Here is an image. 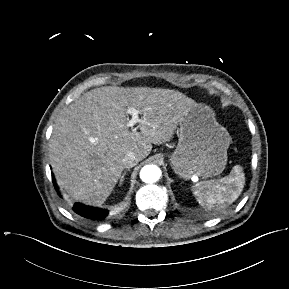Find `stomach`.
Wrapping results in <instances>:
<instances>
[{
	"mask_svg": "<svg viewBox=\"0 0 289 289\" xmlns=\"http://www.w3.org/2000/svg\"><path fill=\"white\" fill-rule=\"evenodd\" d=\"M178 132V145L169 156L177 175L208 178L225 169L231 137L216 121L210 107L196 103L182 117Z\"/></svg>",
	"mask_w": 289,
	"mask_h": 289,
	"instance_id": "obj_1",
	"label": "stomach"
}]
</instances>
